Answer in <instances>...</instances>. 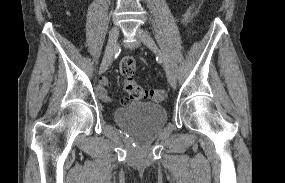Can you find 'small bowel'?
<instances>
[{"instance_id": "small-bowel-1", "label": "small bowel", "mask_w": 285, "mask_h": 183, "mask_svg": "<svg viewBox=\"0 0 285 183\" xmlns=\"http://www.w3.org/2000/svg\"><path fill=\"white\" fill-rule=\"evenodd\" d=\"M109 86H110V80L108 78H103L101 80V86L97 88L98 96L105 101L110 99V96L106 89Z\"/></svg>"}]
</instances>
